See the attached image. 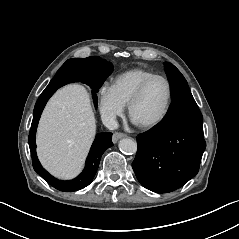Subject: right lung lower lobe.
<instances>
[{
  "mask_svg": "<svg viewBox=\"0 0 239 239\" xmlns=\"http://www.w3.org/2000/svg\"><path fill=\"white\" fill-rule=\"evenodd\" d=\"M112 70L113 66L110 62H107L97 56L84 59H69L58 70L35 104L33 121L28 137L33 167L46 182L57 190L64 192L77 191L83 189L92 182L98 169L102 154L113 145L112 133H99L96 135L87 157L85 168L78 177L69 181L58 180L42 167L36 154L35 135L38 121L44 106L58 88L72 82H82L89 85L94 91L93 99L95 106H97L96 92L99 91V88L111 74Z\"/></svg>",
  "mask_w": 239,
  "mask_h": 239,
  "instance_id": "1",
  "label": "right lung lower lobe"
}]
</instances>
